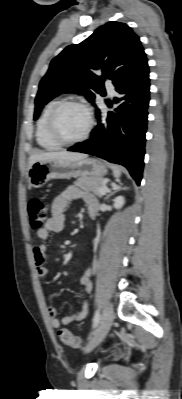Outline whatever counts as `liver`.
Segmentation results:
<instances>
[{"mask_svg": "<svg viewBox=\"0 0 182 399\" xmlns=\"http://www.w3.org/2000/svg\"><path fill=\"white\" fill-rule=\"evenodd\" d=\"M87 156L83 153L58 151V152H43L36 153L29 158V167L37 162L48 159L61 160V161H77L86 158Z\"/></svg>", "mask_w": 182, "mask_h": 399, "instance_id": "6515ba94", "label": "liver"}]
</instances>
